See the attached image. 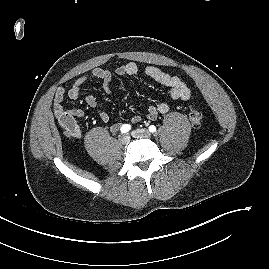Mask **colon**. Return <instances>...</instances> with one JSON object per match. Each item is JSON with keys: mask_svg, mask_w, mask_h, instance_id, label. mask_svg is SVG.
I'll use <instances>...</instances> for the list:
<instances>
[{"mask_svg": "<svg viewBox=\"0 0 269 269\" xmlns=\"http://www.w3.org/2000/svg\"><path fill=\"white\" fill-rule=\"evenodd\" d=\"M189 118H190L192 126L195 129H198L201 127L203 117H202V114L198 110L192 108L189 114ZM66 122L67 123L69 122L68 118H66Z\"/></svg>", "mask_w": 269, "mask_h": 269, "instance_id": "5ec220e1", "label": "colon"}]
</instances>
